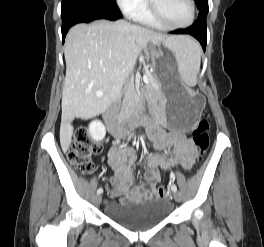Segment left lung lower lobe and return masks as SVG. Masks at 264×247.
Masks as SVG:
<instances>
[{"instance_id":"left-lung-lower-lobe-1","label":"left lung lower lobe","mask_w":264,"mask_h":247,"mask_svg":"<svg viewBox=\"0 0 264 247\" xmlns=\"http://www.w3.org/2000/svg\"><path fill=\"white\" fill-rule=\"evenodd\" d=\"M172 34H190L194 36L202 45L203 50L206 49V20L203 18H198L196 22L189 28L186 29H178L175 31H171Z\"/></svg>"}]
</instances>
